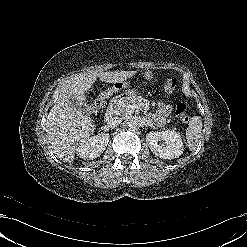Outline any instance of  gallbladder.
Masks as SVG:
<instances>
[{"mask_svg":"<svg viewBox=\"0 0 247 247\" xmlns=\"http://www.w3.org/2000/svg\"><path fill=\"white\" fill-rule=\"evenodd\" d=\"M70 102L74 107H76L79 110L86 111V112L90 111L89 106H87L86 104H80L77 100L73 98L70 99Z\"/></svg>","mask_w":247,"mask_h":247,"instance_id":"bac80fb5","label":"gallbladder"}]
</instances>
